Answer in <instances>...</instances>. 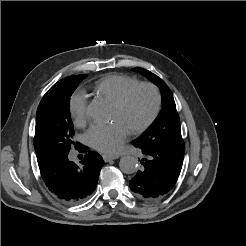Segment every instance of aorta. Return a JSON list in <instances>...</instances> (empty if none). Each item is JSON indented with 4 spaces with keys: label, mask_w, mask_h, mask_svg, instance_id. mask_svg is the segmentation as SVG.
<instances>
[{
    "label": "aorta",
    "mask_w": 246,
    "mask_h": 246,
    "mask_svg": "<svg viewBox=\"0 0 246 246\" xmlns=\"http://www.w3.org/2000/svg\"><path fill=\"white\" fill-rule=\"evenodd\" d=\"M87 114L97 120L101 121L106 118L107 115V107L99 102H92L87 107ZM119 167L122 172L126 174H132L136 172L138 167V159L133 156H124L121 158L119 162Z\"/></svg>",
    "instance_id": "aorta-1"
}]
</instances>
